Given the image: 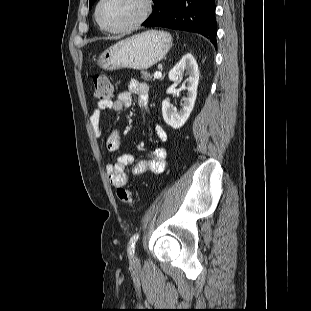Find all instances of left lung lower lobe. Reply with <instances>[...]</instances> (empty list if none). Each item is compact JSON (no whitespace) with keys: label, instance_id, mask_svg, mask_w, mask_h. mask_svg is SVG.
<instances>
[{"label":"left lung lower lobe","instance_id":"1","mask_svg":"<svg viewBox=\"0 0 311 311\" xmlns=\"http://www.w3.org/2000/svg\"><path fill=\"white\" fill-rule=\"evenodd\" d=\"M154 11L142 24L202 34L216 47L215 0H153Z\"/></svg>","mask_w":311,"mask_h":311}]
</instances>
